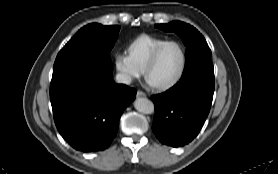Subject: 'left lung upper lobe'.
Masks as SVG:
<instances>
[{
  "label": "left lung upper lobe",
  "mask_w": 278,
  "mask_h": 174,
  "mask_svg": "<svg viewBox=\"0 0 278 174\" xmlns=\"http://www.w3.org/2000/svg\"><path fill=\"white\" fill-rule=\"evenodd\" d=\"M156 27L167 32H175L187 47L185 68L180 81L201 75L214 78L211 51L204 37L194 27L180 21Z\"/></svg>",
  "instance_id": "5c2ea615"
}]
</instances>
